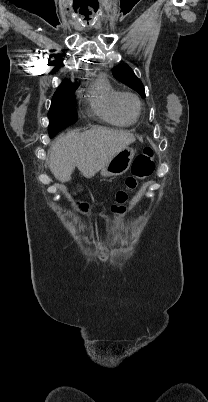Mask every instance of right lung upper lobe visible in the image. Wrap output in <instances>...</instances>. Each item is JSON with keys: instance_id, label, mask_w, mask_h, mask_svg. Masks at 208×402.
Segmentation results:
<instances>
[{"instance_id": "obj_1", "label": "right lung upper lobe", "mask_w": 208, "mask_h": 402, "mask_svg": "<svg viewBox=\"0 0 208 402\" xmlns=\"http://www.w3.org/2000/svg\"><path fill=\"white\" fill-rule=\"evenodd\" d=\"M77 87V85L72 84L70 81L68 80H64L60 86L58 87V89L56 90L54 96L56 95H61V94H65L68 92H72L74 91V89Z\"/></svg>"}]
</instances>
